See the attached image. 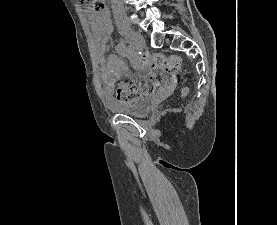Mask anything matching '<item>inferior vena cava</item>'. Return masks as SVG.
I'll return each instance as SVG.
<instances>
[{
    "label": "inferior vena cava",
    "instance_id": "obj_1",
    "mask_svg": "<svg viewBox=\"0 0 277 225\" xmlns=\"http://www.w3.org/2000/svg\"><path fill=\"white\" fill-rule=\"evenodd\" d=\"M112 4L115 7L121 8L122 7V0H111Z\"/></svg>",
    "mask_w": 277,
    "mask_h": 225
}]
</instances>
